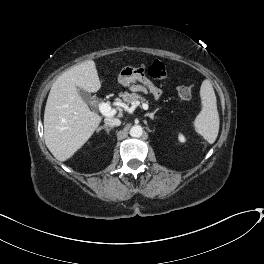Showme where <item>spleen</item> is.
Returning a JSON list of instances; mask_svg holds the SVG:
<instances>
[{"instance_id": "obj_1", "label": "spleen", "mask_w": 264, "mask_h": 264, "mask_svg": "<svg viewBox=\"0 0 264 264\" xmlns=\"http://www.w3.org/2000/svg\"><path fill=\"white\" fill-rule=\"evenodd\" d=\"M202 110L195 118L194 128L208 143L215 142L219 132V114L216 95L209 80H204L200 88Z\"/></svg>"}]
</instances>
